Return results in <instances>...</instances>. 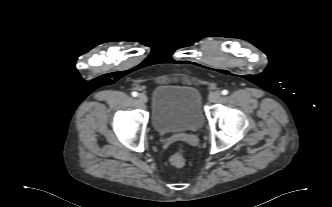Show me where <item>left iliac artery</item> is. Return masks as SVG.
<instances>
[{"mask_svg": "<svg viewBox=\"0 0 332 207\" xmlns=\"http://www.w3.org/2000/svg\"><path fill=\"white\" fill-rule=\"evenodd\" d=\"M228 94V90H223L222 91V95H227Z\"/></svg>", "mask_w": 332, "mask_h": 207, "instance_id": "1", "label": "left iliac artery"}]
</instances>
